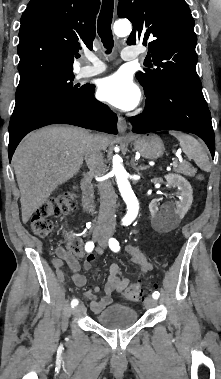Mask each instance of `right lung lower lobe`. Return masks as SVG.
Instances as JSON below:
<instances>
[{"label": "right lung lower lobe", "instance_id": "98d812e1", "mask_svg": "<svg viewBox=\"0 0 221 379\" xmlns=\"http://www.w3.org/2000/svg\"><path fill=\"white\" fill-rule=\"evenodd\" d=\"M94 86L78 98L66 104L56 105L42 110L20 126L9 132L8 154L12 155L22 140L30 131L50 124H72L87 129H93L110 134H117V116L110 108L94 98Z\"/></svg>", "mask_w": 221, "mask_h": 379}]
</instances>
